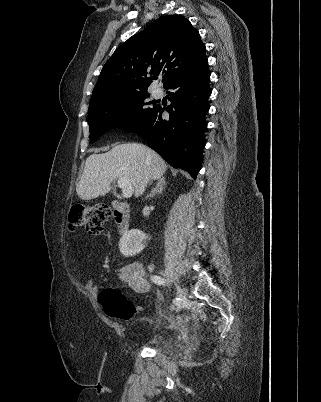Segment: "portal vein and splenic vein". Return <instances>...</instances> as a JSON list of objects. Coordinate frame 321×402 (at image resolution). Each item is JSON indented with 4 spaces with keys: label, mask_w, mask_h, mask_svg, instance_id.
Returning <instances> with one entry per match:
<instances>
[{
    "label": "portal vein and splenic vein",
    "mask_w": 321,
    "mask_h": 402,
    "mask_svg": "<svg viewBox=\"0 0 321 402\" xmlns=\"http://www.w3.org/2000/svg\"><path fill=\"white\" fill-rule=\"evenodd\" d=\"M118 186L122 189V195L125 198H129L132 196L133 187L130 180L125 178H120L117 181Z\"/></svg>",
    "instance_id": "portal-vein-and-splenic-vein-1"
}]
</instances>
